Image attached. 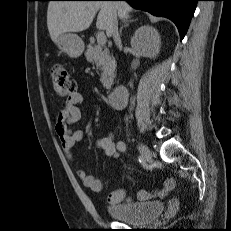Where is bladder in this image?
<instances>
[{
	"label": "bladder",
	"instance_id": "31cf9c89",
	"mask_svg": "<svg viewBox=\"0 0 231 231\" xmlns=\"http://www.w3.org/2000/svg\"><path fill=\"white\" fill-rule=\"evenodd\" d=\"M107 212L117 221L147 225L156 220L164 210L163 202H128L118 206H109Z\"/></svg>",
	"mask_w": 231,
	"mask_h": 231
}]
</instances>
